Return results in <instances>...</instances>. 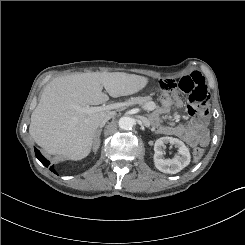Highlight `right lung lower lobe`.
I'll use <instances>...</instances> for the list:
<instances>
[{
	"label": "right lung lower lobe",
	"instance_id": "right-lung-lower-lobe-1",
	"mask_svg": "<svg viewBox=\"0 0 245 245\" xmlns=\"http://www.w3.org/2000/svg\"><path fill=\"white\" fill-rule=\"evenodd\" d=\"M35 155H36L37 159H38V160H39L45 167H48V166L50 165V162H49L46 158H44V157L41 155L40 151H39L38 149H36V148H35ZM49 169H50L53 173L57 174V172H56L55 169H54V166H50Z\"/></svg>",
	"mask_w": 245,
	"mask_h": 245
}]
</instances>
